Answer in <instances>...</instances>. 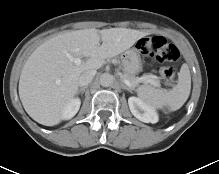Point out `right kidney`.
<instances>
[{
	"instance_id": "obj_1",
	"label": "right kidney",
	"mask_w": 219,
	"mask_h": 174,
	"mask_svg": "<svg viewBox=\"0 0 219 174\" xmlns=\"http://www.w3.org/2000/svg\"><path fill=\"white\" fill-rule=\"evenodd\" d=\"M80 104L81 101L79 98L72 99L63 110V119L69 120L74 117L80 108Z\"/></svg>"
}]
</instances>
